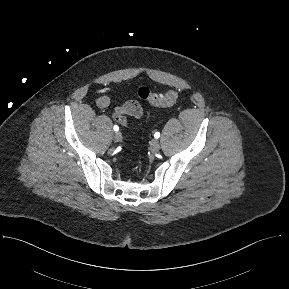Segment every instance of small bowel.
Returning a JSON list of instances; mask_svg holds the SVG:
<instances>
[{
  "label": "small bowel",
  "mask_w": 289,
  "mask_h": 289,
  "mask_svg": "<svg viewBox=\"0 0 289 289\" xmlns=\"http://www.w3.org/2000/svg\"><path fill=\"white\" fill-rule=\"evenodd\" d=\"M116 89L117 87L115 86L104 87L96 98V105L101 109L108 108L111 104L110 94L116 91ZM142 114L143 109L140 103L135 100H129L113 108L112 118L120 125L127 126L128 116L139 119Z\"/></svg>",
  "instance_id": "c3829d8e"
}]
</instances>
